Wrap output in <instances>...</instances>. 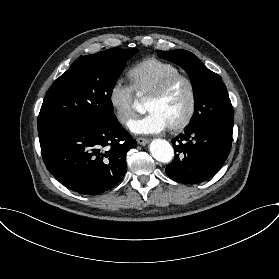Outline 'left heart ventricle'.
I'll use <instances>...</instances> for the list:
<instances>
[{"label":"left heart ventricle","instance_id":"1","mask_svg":"<svg viewBox=\"0 0 279 279\" xmlns=\"http://www.w3.org/2000/svg\"><path fill=\"white\" fill-rule=\"evenodd\" d=\"M190 102L189 87L185 82L176 84L163 98L147 100V109L158 112L170 125L180 122Z\"/></svg>","mask_w":279,"mask_h":279}]
</instances>
